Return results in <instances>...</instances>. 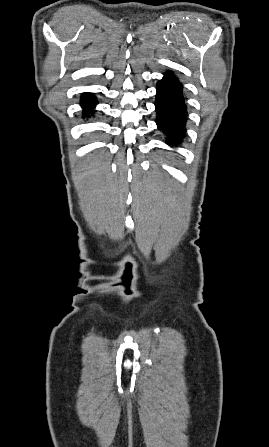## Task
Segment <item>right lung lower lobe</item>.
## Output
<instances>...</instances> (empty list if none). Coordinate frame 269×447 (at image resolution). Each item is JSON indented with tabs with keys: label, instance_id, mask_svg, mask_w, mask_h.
Segmentation results:
<instances>
[{
	"label": "right lung lower lobe",
	"instance_id": "1",
	"mask_svg": "<svg viewBox=\"0 0 269 447\" xmlns=\"http://www.w3.org/2000/svg\"><path fill=\"white\" fill-rule=\"evenodd\" d=\"M81 104L83 108V117H86L88 114L93 113V108L95 104H97V101L93 94L85 93L82 95Z\"/></svg>",
	"mask_w": 269,
	"mask_h": 447
}]
</instances>
